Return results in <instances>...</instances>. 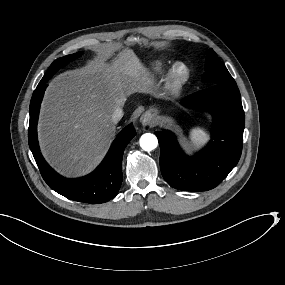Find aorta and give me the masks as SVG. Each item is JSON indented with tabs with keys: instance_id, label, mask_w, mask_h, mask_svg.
I'll return each instance as SVG.
<instances>
[{
	"instance_id": "aorta-1",
	"label": "aorta",
	"mask_w": 285,
	"mask_h": 285,
	"mask_svg": "<svg viewBox=\"0 0 285 285\" xmlns=\"http://www.w3.org/2000/svg\"><path fill=\"white\" fill-rule=\"evenodd\" d=\"M140 146L144 151L150 152L157 148L158 140L155 135L146 133L140 138Z\"/></svg>"
}]
</instances>
